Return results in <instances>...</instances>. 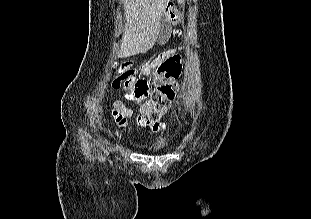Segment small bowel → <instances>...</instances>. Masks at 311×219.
Here are the masks:
<instances>
[{
  "mask_svg": "<svg viewBox=\"0 0 311 219\" xmlns=\"http://www.w3.org/2000/svg\"><path fill=\"white\" fill-rule=\"evenodd\" d=\"M177 49H169L154 59L149 64H146L142 69V73L149 74L156 67H158L166 58L176 52ZM113 116L119 127L124 128L128 124L130 118H134L139 126L149 128L153 132H163L165 127L164 124L158 122H150L143 119L142 117L135 115L134 112L121 103H116L115 108L112 112Z\"/></svg>",
  "mask_w": 311,
  "mask_h": 219,
  "instance_id": "small-bowel-1",
  "label": "small bowel"
}]
</instances>
